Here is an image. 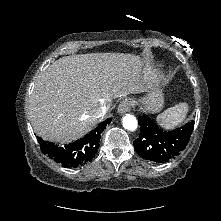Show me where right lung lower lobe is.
<instances>
[{
    "instance_id": "98d812e1",
    "label": "right lung lower lobe",
    "mask_w": 221,
    "mask_h": 221,
    "mask_svg": "<svg viewBox=\"0 0 221 221\" xmlns=\"http://www.w3.org/2000/svg\"><path fill=\"white\" fill-rule=\"evenodd\" d=\"M111 119L101 122L97 128L90 131L84 138L59 147L54 143H50L37 138L41 145V150L49 158L55 162L60 163L66 168H77L90 162L95 156L97 149L99 148V141L101 133L106 128V124H110Z\"/></svg>"
}]
</instances>
